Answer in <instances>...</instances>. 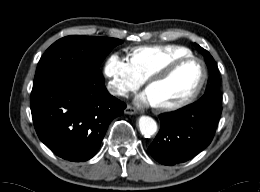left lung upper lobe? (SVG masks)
Wrapping results in <instances>:
<instances>
[{
    "label": "left lung upper lobe",
    "mask_w": 260,
    "mask_h": 192,
    "mask_svg": "<svg viewBox=\"0 0 260 192\" xmlns=\"http://www.w3.org/2000/svg\"><path fill=\"white\" fill-rule=\"evenodd\" d=\"M196 46H197L198 50L204 55L205 61L207 63V66H208L209 72H210L207 88H206L205 94L202 98H205V97L219 98L220 82H219V75H218L215 61H214L213 57L209 54L208 51L201 48L199 45H196Z\"/></svg>",
    "instance_id": "left-lung-upper-lobe-1"
}]
</instances>
